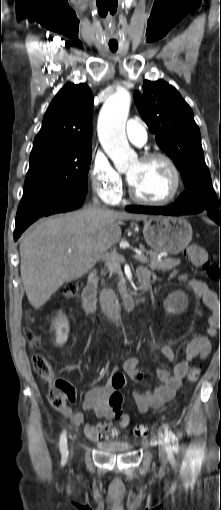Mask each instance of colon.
Masks as SVG:
<instances>
[{
	"mask_svg": "<svg viewBox=\"0 0 221 510\" xmlns=\"http://www.w3.org/2000/svg\"><path fill=\"white\" fill-rule=\"evenodd\" d=\"M187 259L196 267L201 269L206 276L213 282H217L221 286V265L213 263L208 256L204 247L199 245H191L186 250ZM78 291L77 284H68L64 288V295L66 297H73ZM27 337L30 341L31 347L37 352L32 358V366L34 371L49 384L48 401L50 405L56 410H64L67 408L68 402L76 401V394L74 388L65 380L54 379L53 369L47 357L40 352L41 341L40 338L32 331L27 332ZM200 370L197 367L190 369L187 375L189 383H194L199 378ZM111 386L114 393L110 396V404L116 407L115 417L122 427L128 426L130 419L123 412L121 408L122 395L119 392L126 385V378L123 373L115 372L111 376ZM148 433V429L144 425H136L133 428V434L136 437H144Z\"/></svg>",
	"mask_w": 221,
	"mask_h": 510,
	"instance_id": "5ec220e1",
	"label": "colon"
}]
</instances>
